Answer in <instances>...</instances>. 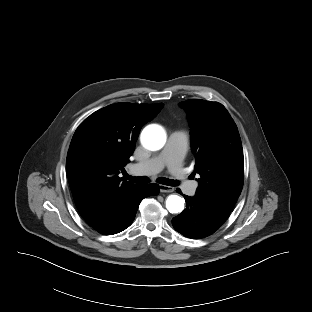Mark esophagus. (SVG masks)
Instances as JSON below:
<instances>
[{
    "label": "esophagus",
    "mask_w": 312,
    "mask_h": 312,
    "mask_svg": "<svg viewBox=\"0 0 312 312\" xmlns=\"http://www.w3.org/2000/svg\"><path fill=\"white\" fill-rule=\"evenodd\" d=\"M159 190H160V192H162V193H171V192L174 191V188L171 187V186H167V185L160 184V185H159Z\"/></svg>",
    "instance_id": "1"
}]
</instances>
